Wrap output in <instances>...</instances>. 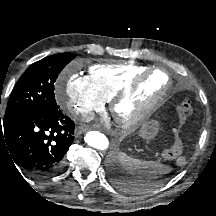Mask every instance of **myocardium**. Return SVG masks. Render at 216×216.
<instances>
[{
    "label": "myocardium",
    "mask_w": 216,
    "mask_h": 216,
    "mask_svg": "<svg viewBox=\"0 0 216 216\" xmlns=\"http://www.w3.org/2000/svg\"><path fill=\"white\" fill-rule=\"evenodd\" d=\"M162 71L156 68H150L141 74L135 76L126 86L118 90L110 99V111L116 119L118 125L124 130H132L137 128L143 121H145L157 108V106L166 97L171 89L172 81L170 76L162 71L167 82L165 86L149 99L140 102L136 112L130 116H124L120 113V107L126 105L138 97L142 93L143 87L151 80V78Z\"/></svg>",
    "instance_id": "obj_1"
}]
</instances>
